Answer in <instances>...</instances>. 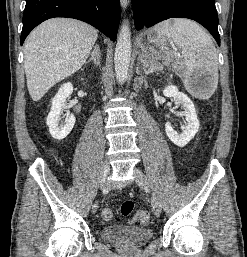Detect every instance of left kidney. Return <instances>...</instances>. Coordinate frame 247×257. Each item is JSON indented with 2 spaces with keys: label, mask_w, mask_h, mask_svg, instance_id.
I'll list each match as a JSON object with an SVG mask.
<instances>
[{
  "label": "left kidney",
  "mask_w": 247,
  "mask_h": 257,
  "mask_svg": "<svg viewBox=\"0 0 247 257\" xmlns=\"http://www.w3.org/2000/svg\"><path fill=\"white\" fill-rule=\"evenodd\" d=\"M163 95L173 97L175 104L182 105L184 108L183 116L185 117L186 124L183 126L181 133H178L169 122L165 124V131L169 139L175 145L184 147L196 135L200 125L194 104L186 94L180 92L174 85L165 87Z\"/></svg>",
  "instance_id": "obj_1"
}]
</instances>
